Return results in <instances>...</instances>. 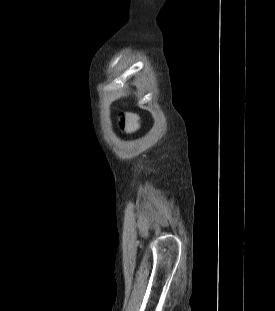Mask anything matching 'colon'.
Masks as SVG:
<instances>
[{"mask_svg":"<svg viewBox=\"0 0 275 311\" xmlns=\"http://www.w3.org/2000/svg\"><path fill=\"white\" fill-rule=\"evenodd\" d=\"M124 128H126V127H124ZM127 129H129V125H128Z\"/></svg>","mask_w":275,"mask_h":311,"instance_id":"obj_1","label":"colon"}]
</instances>
